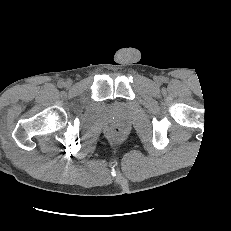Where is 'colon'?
<instances>
[{
	"mask_svg": "<svg viewBox=\"0 0 231 231\" xmlns=\"http://www.w3.org/2000/svg\"><path fill=\"white\" fill-rule=\"evenodd\" d=\"M119 131H120L119 129H116V130H115V134H118V133H119Z\"/></svg>",
	"mask_w": 231,
	"mask_h": 231,
	"instance_id": "obj_1",
	"label": "colon"
}]
</instances>
